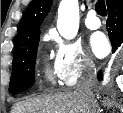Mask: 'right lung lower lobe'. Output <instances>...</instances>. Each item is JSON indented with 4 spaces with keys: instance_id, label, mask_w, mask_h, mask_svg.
Returning <instances> with one entry per match:
<instances>
[{
    "instance_id": "98d812e1",
    "label": "right lung lower lobe",
    "mask_w": 123,
    "mask_h": 113,
    "mask_svg": "<svg viewBox=\"0 0 123 113\" xmlns=\"http://www.w3.org/2000/svg\"><path fill=\"white\" fill-rule=\"evenodd\" d=\"M108 6L107 29L112 44V51L123 43V0H110ZM103 79L101 71L98 72V80Z\"/></svg>"
}]
</instances>
